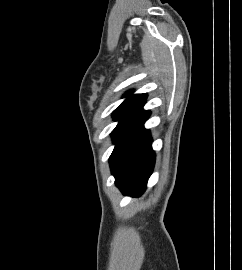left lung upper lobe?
Returning a JSON list of instances; mask_svg holds the SVG:
<instances>
[{
  "instance_id": "obj_1",
  "label": "left lung upper lobe",
  "mask_w": 242,
  "mask_h": 270,
  "mask_svg": "<svg viewBox=\"0 0 242 270\" xmlns=\"http://www.w3.org/2000/svg\"><path fill=\"white\" fill-rule=\"evenodd\" d=\"M133 91H129L125 94L127 97L122 104L117 107L113 112L114 120H121L127 114H129L132 110L142 104L145 100L147 95L146 94H135L131 95Z\"/></svg>"
}]
</instances>
